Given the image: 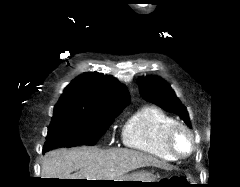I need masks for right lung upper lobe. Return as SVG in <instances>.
I'll return each instance as SVG.
<instances>
[{"mask_svg":"<svg viewBox=\"0 0 240 187\" xmlns=\"http://www.w3.org/2000/svg\"><path fill=\"white\" fill-rule=\"evenodd\" d=\"M129 102L125 86L109 76L89 72L73 80L55 108L67 107L94 112L122 110Z\"/></svg>","mask_w":240,"mask_h":187,"instance_id":"cb5924a9","label":"right lung upper lobe"}]
</instances>
